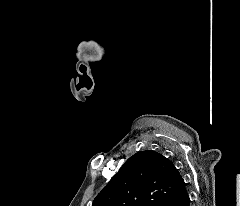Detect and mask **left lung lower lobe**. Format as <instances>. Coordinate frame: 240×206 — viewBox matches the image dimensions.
I'll list each match as a JSON object with an SVG mask.
<instances>
[{"instance_id":"1","label":"left lung lower lobe","mask_w":240,"mask_h":206,"mask_svg":"<svg viewBox=\"0 0 240 206\" xmlns=\"http://www.w3.org/2000/svg\"><path fill=\"white\" fill-rule=\"evenodd\" d=\"M190 203L191 201L187 184L181 176L178 188L176 189L166 206H190Z\"/></svg>"}]
</instances>
